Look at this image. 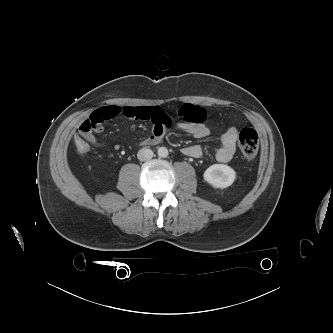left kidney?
I'll list each match as a JSON object with an SVG mask.
<instances>
[{
    "label": "left kidney",
    "mask_w": 333,
    "mask_h": 333,
    "mask_svg": "<svg viewBox=\"0 0 333 333\" xmlns=\"http://www.w3.org/2000/svg\"><path fill=\"white\" fill-rule=\"evenodd\" d=\"M204 180L215 188H227L235 180L236 173L228 165L214 164L204 172Z\"/></svg>",
    "instance_id": "5707ae66"
}]
</instances>
